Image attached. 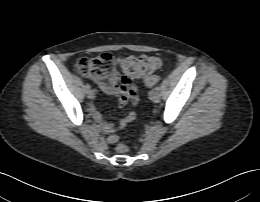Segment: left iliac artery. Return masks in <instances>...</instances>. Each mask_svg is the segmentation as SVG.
Here are the masks:
<instances>
[{"label": "left iliac artery", "mask_w": 260, "mask_h": 202, "mask_svg": "<svg viewBox=\"0 0 260 202\" xmlns=\"http://www.w3.org/2000/svg\"><path fill=\"white\" fill-rule=\"evenodd\" d=\"M155 90L159 92L160 91V86H156Z\"/></svg>", "instance_id": "obj_1"}]
</instances>
